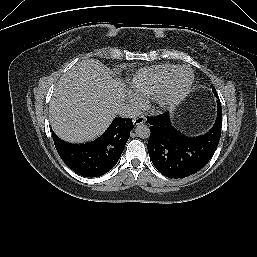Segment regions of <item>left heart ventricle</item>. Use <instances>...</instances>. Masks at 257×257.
<instances>
[{
	"label": "left heart ventricle",
	"instance_id": "1",
	"mask_svg": "<svg viewBox=\"0 0 257 257\" xmlns=\"http://www.w3.org/2000/svg\"><path fill=\"white\" fill-rule=\"evenodd\" d=\"M188 78L189 75L185 71H181L178 74H176L170 84L171 90H179L180 88H182L188 81Z\"/></svg>",
	"mask_w": 257,
	"mask_h": 257
}]
</instances>
